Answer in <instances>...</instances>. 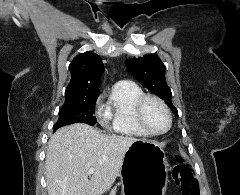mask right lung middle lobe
Masks as SVG:
<instances>
[{
    "label": "right lung middle lobe",
    "mask_w": 240,
    "mask_h": 195,
    "mask_svg": "<svg viewBox=\"0 0 240 195\" xmlns=\"http://www.w3.org/2000/svg\"><path fill=\"white\" fill-rule=\"evenodd\" d=\"M98 97H81L65 99L59 110V119L54 125V132L61 126L73 123L96 124L94 116L95 104Z\"/></svg>",
    "instance_id": "right-lung-middle-lobe-1"
}]
</instances>
